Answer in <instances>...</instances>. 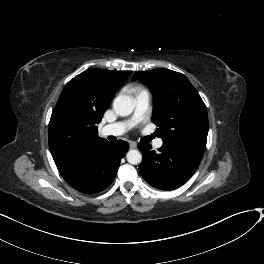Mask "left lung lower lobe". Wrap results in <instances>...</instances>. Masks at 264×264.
Masks as SVG:
<instances>
[{
	"instance_id": "obj_1",
	"label": "left lung lower lobe",
	"mask_w": 264,
	"mask_h": 264,
	"mask_svg": "<svg viewBox=\"0 0 264 264\" xmlns=\"http://www.w3.org/2000/svg\"><path fill=\"white\" fill-rule=\"evenodd\" d=\"M143 159L140 173L151 186L161 190H173L186 183L195 173L204 150L193 144L163 143L159 152L151 145L140 143Z\"/></svg>"
}]
</instances>
